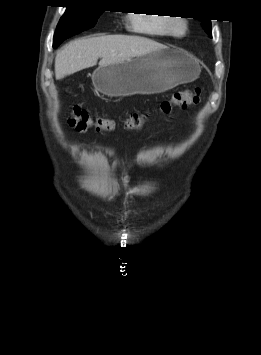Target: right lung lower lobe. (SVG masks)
<instances>
[{"mask_svg":"<svg viewBox=\"0 0 261 355\" xmlns=\"http://www.w3.org/2000/svg\"><path fill=\"white\" fill-rule=\"evenodd\" d=\"M64 40H58V41L53 42V47L57 48L61 44V42L64 41Z\"/></svg>","mask_w":261,"mask_h":355,"instance_id":"right-lung-lower-lobe-1","label":"right lung lower lobe"}]
</instances>
